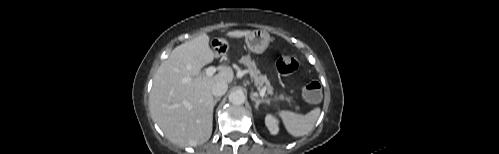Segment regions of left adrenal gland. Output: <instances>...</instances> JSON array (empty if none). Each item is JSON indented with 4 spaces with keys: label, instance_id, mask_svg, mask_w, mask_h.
I'll return each mask as SVG.
<instances>
[{
    "label": "left adrenal gland",
    "instance_id": "a2214340",
    "mask_svg": "<svg viewBox=\"0 0 499 154\" xmlns=\"http://www.w3.org/2000/svg\"><path fill=\"white\" fill-rule=\"evenodd\" d=\"M250 98L252 101L255 102V108L258 109L259 108V105L262 104V103H269L268 101L266 100H263V99H258L257 96L255 95V93H251L250 95Z\"/></svg>",
    "mask_w": 499,
    "mask_h": 154
}]
</instances>
